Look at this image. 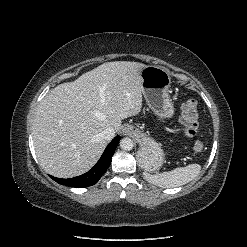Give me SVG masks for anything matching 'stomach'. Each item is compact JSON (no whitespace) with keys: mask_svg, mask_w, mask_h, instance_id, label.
<instances>
[{"mask_svg":"<svg viewBox=\"0 0 247 247\" xmlns=\"http://www.w3.org/2000/svg\"><path fill=\"white\" fill-rule=\"evenodd\" d=\"M143 95L149 106L159 118H170L174 115L173 102L169 95L171 77L166 69L158 66H145L140 72ZM140 146L138 161L146 172H157L163 165L165 153L161 146L138 128L134 130Z\"/></svg>","mask_w":247,"mask_h":247,"instance_id":"0dacf381","label":"stomach"}]
</instances>
